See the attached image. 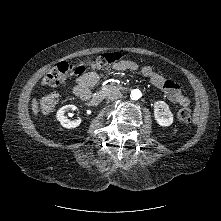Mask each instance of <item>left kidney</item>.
<instances>
[{
	"label": "left kidney",
	"mask_w": 221,
	"mask_h": 221,
	"mask_svg": "<svg viewBox=\"0 0 221 221\" xmlns=\"http://www.w3.org/2000/svg\"><path fill=\"white\" fill-rule=\"evenodd\" d=\"M161 110V111H160ZM154 117L160 126L167 127L173 123V114L164 101L154 103Z\"/></svg>",
	"instance_id": "5707ae66"
}]
</instances>
